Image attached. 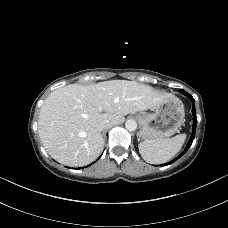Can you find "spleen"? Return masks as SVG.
I'll use <instances>...</instances> for the list:
<instances>
[{
    "label": "spleen",
    "instance_id": "spleen-1",
    "mask_svg": "<svg viewBox=\"0 0 228 228\" xmlns=\"http://www.w3.org/2000/svg\"><path fill=\"white\" fill-rule=\"evenodd\" d=\"M186 134L161 140H145L138 145L142 158L151 164H162L172 159L181 149Z\"/></svg>",
    "mask_w": 228,
    "mask_h": 228
}]
</instances>
